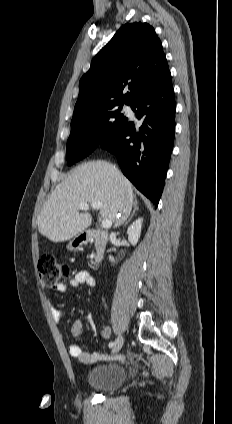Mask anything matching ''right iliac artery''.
Listing matches in <instances>:
<instances>
[{"label": "right iliac artery", "mask_w": 232, "mask_h": 424, "mask_svg": "<svg viewBox=\"0 0 232 424\" xmlns=\"http://www.w3.org/2000/svg\"><path fill=\"white\" fill-rule=\"evenodd\" d=\"M114 344H115V342H110L109 343V347L111 348V347H113L114 346Z\"/></svg>", "instance_id": "1"}]
</instances>
